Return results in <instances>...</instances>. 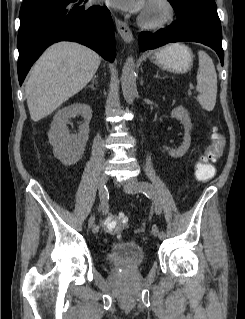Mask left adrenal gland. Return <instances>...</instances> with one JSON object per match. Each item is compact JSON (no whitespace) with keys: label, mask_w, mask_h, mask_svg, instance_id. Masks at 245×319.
Segmentation results:
<instances>
[{"label":"left adrenal gland","mask_w":245,"mask_h":319,"mask_svg":"<svg viewBox=\"0 0 245 319\" xmlns=\"http://www.w3.org/2000/svg\"><path fill=\"white\" fill-rule=\"evenodd\" d=\"M155 78L161 79V77L158 74V71L156 72V75H154Z\"/></svg>","instance_id":"obj_1"}]
</instances>
